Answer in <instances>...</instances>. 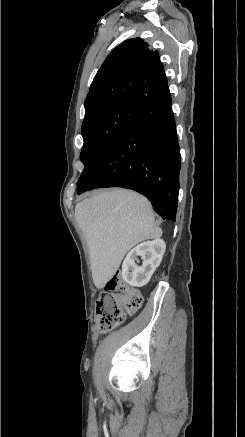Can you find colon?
<instances>
[{"label":"colon","instance_id":"1","mask_svg":"<svg viewBox=\"0 0 245 437\" xmlns=\"http://www.w3.org/2000/svg\"><path fill=\"white\" fill-rule=\"evenodd\" d=\"M143 297L128 286L117 273L107 281L96 301L95 315L100 330L109 331L124 322L127 315L140 309Z\"/></svg>","mask_w":245,"mask_h":437}]
</instances>
